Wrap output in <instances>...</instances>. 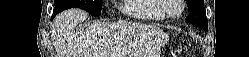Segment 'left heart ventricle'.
Returning a JSON list of instances; mask_svg holds the SVG:
<instances>
[{
    "label": "left heart ventricle",
    "instance_id": "1",
    "mask_svg": "<svg viewBox=\"0 0 249 57\" xmlns=\"http://www.w3.org/2000/svg\"><path fill=\"white\" fill-rule=\"evenodd\" d=\"M179 5L177 4L176 0H172V5L169 9V13L171 15H176L179 12Z\"/></svg>",
    "mask_w": 249,
    "mask_h": 57
}]
</instances>
